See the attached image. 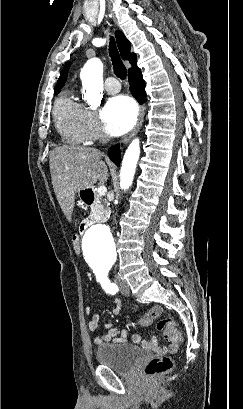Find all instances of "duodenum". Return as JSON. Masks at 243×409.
Here are the masks:
<instances>
[{
    "instance_id": "duodenum-1",
    "label": "duodenum",
    "mask_w": 243,
    "mask_h": 409,
    "mask_svg": "<svg viewBox=\"0 0 243 409\" xmlns=\"http://www.w3.org/2000/svg\"><path fill=\"white\" fill-rule=\"evenodd\" d=\"M82 200L88 206L93 205L94 202H95V193H94V191L92 189H87L86 191H84V193L82 195ZM88 226H89L88 221L83 222V224L81 225V231H84Z\"/></svg>"
}]
</instances>
